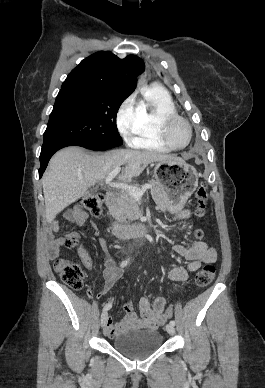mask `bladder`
<instances>
[{
    "label": "bladder",
    "mask_w": 265,
    "mask_h": 388,
    "mask_svg": "<svg viewBox=\"0 0 265 388\" xmlns=\"http://www.w3.org/2000/svg\"><path fill=\"white\" fill-rule=\"evenodd\" d=\"M163 340L159 330L149 329L122 333L114 338V348L132 358L155 352Z\"/></svg>",
    "instance_id": "bladder-1"
}]
</instances>
